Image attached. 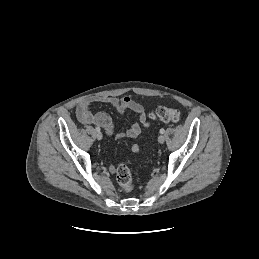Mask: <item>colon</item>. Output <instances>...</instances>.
<instances>
[{"instance_id":"obj_1","label":"colon","mask_w":259,"mask_h":259,"mask_svg":"<svg viewBox=\"0 0 259 259\" xmlns=\"http://www.w3.org/2000/svg\"><path fill=\"white\" fill-rule=\"evenodd\" d=\"M151 120L164 123H176L180 119V113L177 109L160 107L150 115ZM147 125V123H145ZM116 180L120 187L125 191L133 189V176L127 163L119 165L116 169Z\"/></svg>"}]
</instances>
